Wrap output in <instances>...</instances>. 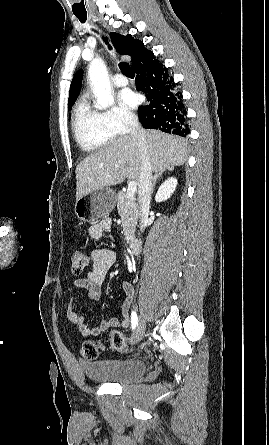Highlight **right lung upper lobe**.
Listing matches in <instances>:
<instances>
[{
  "label": "right lung upper lobe",
  "mask_w": 269,
  "mask_h": 445,
  "mask_svg": "<svg viewBox=\"0 0 269 445\" xmlns=\"http://www.w3.org/2000/svg\"><path fill=\"white\" fill-rule=\"evenodd\" d=\"M111 41L116 50L121 55L131 56L132 69H136L139 65L154 57L152 51L144 47L142 41L134 39L131 35L123 36L118 33H110ZM82 70H79L73 77L71 82L68 104H73L79 94L82 84Z\"/></svg>",
  "instance_id": "obj_1"
}]
</instances>
